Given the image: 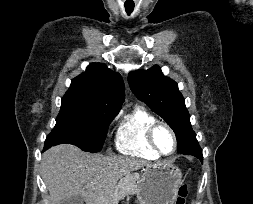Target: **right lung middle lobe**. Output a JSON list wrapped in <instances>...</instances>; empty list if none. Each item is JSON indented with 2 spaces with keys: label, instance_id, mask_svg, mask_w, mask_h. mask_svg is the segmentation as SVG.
Returning <instances> with one entry per match:
<instances>
[{
  "label": "right lung middle lobe",
  "instance_id": "dd1d6c3e",
  "mask_svg": "<svg viewBox=\"0 0 253 204\" xmlns=\"http://www.w3.org/2000/svg\"><path fill=\"white\" fill-rule=\"evenodd\" d=\"M117 114L79 98L65 95L56 119V125L47 136L49 147L61 143L78 146L83 151L102 149L108 126Z\"/></svg>",
  "mask_w": 253,
  "mask_h": 204
}]
</instances>
